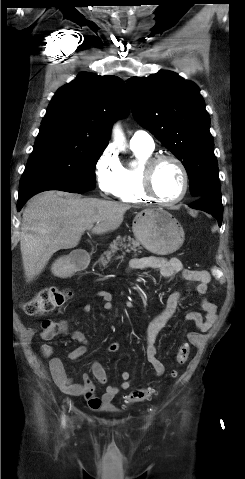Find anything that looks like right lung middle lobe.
Listing matches in <instances>:
<instances>
[{
  "label": "right lung middle lobe",
  "instance_id": "obj_1",
  "mask_svg": "<svg viewBox=\"0 0 245 479\" xmlns=\"http://www.w3.org/2000/svg\"><path fill=\"white\" fill-rule=\"evenodd\" d=\"M105 148L65 131H39L19 189L49 182L93 190L95 166Z\"/></svg>",
  "mask_w": 245,
  "mask_h": 479
}]
</instances>
